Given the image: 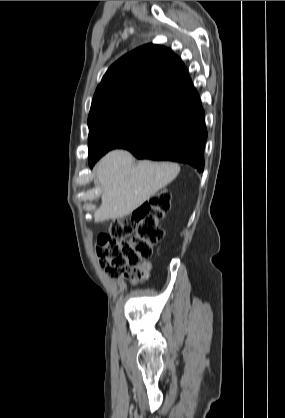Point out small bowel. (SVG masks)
<instances>
[{
	"label": "small bowel",
	"mask_w": 285,
	"mask_h": 418,
	"mask_svg": "<svg viewBox=\"0 0 285 418\" xmlns=\"http://www.w3.org/2000/svg\"><path fill=\"white\" fill-rule=\"evenodd\" d=\"M146 268V271H144L142 274L140 275H135L133 276V278H131V276H129L131 283H138V282H143L145 280H147L149 278L150 272H149V265L145 264L144 265Z\"/></svg>",
	"instance_id": "c3829d8e"
}]
</instances>
